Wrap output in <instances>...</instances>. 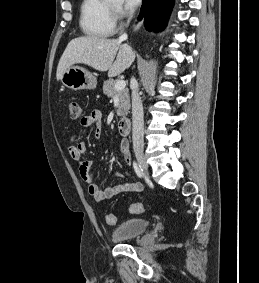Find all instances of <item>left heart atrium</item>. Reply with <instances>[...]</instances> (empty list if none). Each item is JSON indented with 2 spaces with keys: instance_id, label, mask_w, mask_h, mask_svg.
<instances>
[{
  "instance_id": "1",
  "label": "left heart atrium",
  "mask_w": 259,
  "mask_h": 283,
  "mask_svg": "<svg viewBox=\"0 0 259 283\" xmlns=\"http://www.w3.org/2000/svg\"><path fill=\"white\" fill-rule=\"evenodd\" d=\"M141 0H125V9L127 11L134 10L139 4Z\"/></svg>"
}]
</instances>
